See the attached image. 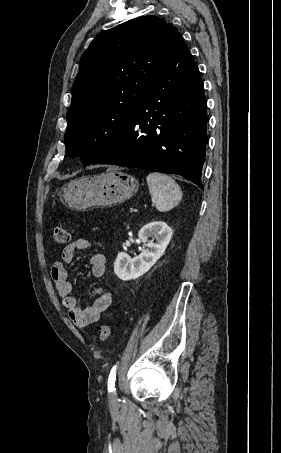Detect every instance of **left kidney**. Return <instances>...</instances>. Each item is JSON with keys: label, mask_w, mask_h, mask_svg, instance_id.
Segmentation results:
<instances>
[{"label": "left kidney", "mask_w": 281, "mask_h": 453, "mask_svg": "<svg viewBox=\"0 0 281 453\" xmlns=\"http://www.w3.org/2000/svg\"><path fill=\"white\" fill-rule=\"evenodd\" d=\"M172 235V229L163 220H153V222L145 224V227L140 229L138 237L144 243V247H148V249H144L138 257H133V259L127 253H118L114 263L115 275L122 281L138 279L145 275L165 253ZM149 237H152L151 241H149ZM154 239H156V243H153Z\"/></svg>", "instance_id": "obj_1"}]
</instances>
